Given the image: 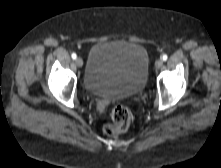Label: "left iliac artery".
I'll return each instance as SVG.
<instances>
[{
    "label": "left iliac artery",
    "mask_w": 221,
    "mask_h": 168,
    "mask_svg": "<svg viewBox=\"0 0 221 168\" xmlns=\"http://www.w3.org/2000/svg\"><path fill=\"white\" fill-rule=\"evenodd\" d=\"M167 58H168V57H167V55H166V54H164V55L162 56V60H163V61H166V60H167Z\"/></svg>",
    "instance_id": "44dca946"
}]
</instances>
